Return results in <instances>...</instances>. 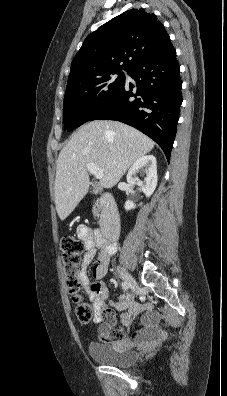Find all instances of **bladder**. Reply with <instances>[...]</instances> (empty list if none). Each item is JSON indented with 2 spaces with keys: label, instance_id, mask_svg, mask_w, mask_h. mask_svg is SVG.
Segmentation results:
<instances>
[{
  "label": "bladder",
  "instance_id": "bladder-1",
  "mask_svg": "<svg viewBox=\"0 0 227 396\" xmlns=\"http://www.w3.org/2000/svg\"><path fill=\"white\" fill-rule=\"evenodd\" d=\"M89 356L96 362L113 367H128L140 357L139 353L124 342L108 344L91 342L88 345Z\"/></svg>",
  "mask_w": 227,
  "mask_h": 396
}]
</instances>
